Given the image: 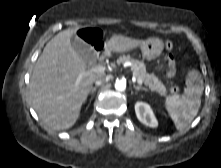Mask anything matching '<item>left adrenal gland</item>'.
I'll use <instances>...</instances> for the list:
<instances>
[{
  "mask_svg": "<svg viewBox=\"0 0 221 168\" xmlns=\"http://www.w3.org/2000/svg\"><path fill=\"white\" fill-rule=\"evenodd\" d=\"M133 87H134V89H135L136 91H139V90L147 91L146 88H144V87H142V86H140V85H135V84H133Z\"/></svg>",
  "mask_w": 221,
  "mask_h": 168,
  "instance_id": "a2214340",
  "label": "left adrenal gland"
}]
</instances>
